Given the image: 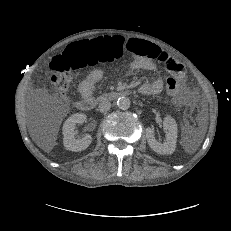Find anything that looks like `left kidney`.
Segmentation results:
<instances>
[{"instance_id":"obj_1","label":"left kidney","mask_w":231,"mask_h":231,"mask_svg":"<svg viewBox=\"0 0 231 231\" xmlns=\"http://www.w3.org/2000/svg\"><path fill=\"white\" fill-rule=\"evenodd\" d=\"M164 130L166 132V141L161 143L156 140L154 130L150 127L146 128V138L152 150L158 154H172L176 148L177 142V124L174 118L166 116L163 121Z\"/></svg>"}]
</instances>
